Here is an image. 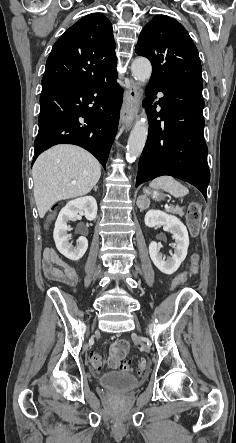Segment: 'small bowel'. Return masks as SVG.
Masks as SVG:
<instances>
[{"instance_id": "obj_1", "label": "small bowel", "mask_w": 236, "mask_h": 443, "mask_svg": "<svg viewBox=\"0 0 236 443\" xmlns=\"http://www.w3.org/2000/svg\"><path fill=\"white\" fill-rule=\"evenodd\" d=\"M43 268L46 277L54 282L72 286L77 276L73 266L64 260L56 250L47 248L44 251Z\"/></svg>"}]
</instances>
